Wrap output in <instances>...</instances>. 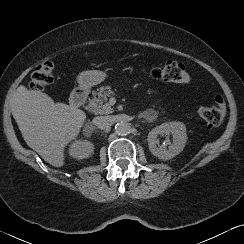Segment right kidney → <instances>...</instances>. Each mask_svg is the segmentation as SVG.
Wrapping results in <instances>:
<instances>
[{
  "mask_svg": "<svg viewBox=\"0 0 244 244\" xmlns=\"http://www.w3.org/2000/svg\"><path fill=\"white\" fill-rule=\"evenodd\" d=\"M93 144L87 140H76L70 145L69 155L78 160L90 157L93 153Z\"/></svg>",
  "mask_w": 244,
  "mask_h": 244,
  "instance_id": "ca27d5eb",
  "label": "right kidney"
}]
</instances>
